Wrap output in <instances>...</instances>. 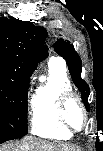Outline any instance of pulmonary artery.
<instances>
[{
	"label": "pulmonary artery",
	"instance_id": "pulmonary-artery-1",
	"mask_svg": "<svg viewBox=\"0 0 103 151\" xmlns=\"http://www.w3.org/2000/svg\"><path fill=\"white\" fill-rule=\"evenodd\" d=\"M50 61H57V62L63 64V61L60 58H52Z\"/></svg>",
	"mask_w": 103,
	"mask_h": 151
}]
</instances>
